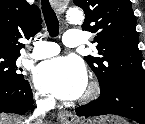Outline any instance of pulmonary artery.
<instances>
[{
	"label": "pulmonary artery",
	"instance_id": "pulmonary-artery-1",
	"mask_svg": "<svg viewBox=\"0 0 145 124\" xmlns=\"http://www.w3.org/2000/svg\"><path fill=\"white\" fill-rule=\"evenodd\" d=\"M65 46L73 48L82 43V32L76 29H70L63 38ZM60 52L59 46L54 42L40 41L36 44V50L29 56L33 59H44L57 55Z\"/></svg>",
	"mask_w": 145,
	"mask_h": 124
}]
</instances>
